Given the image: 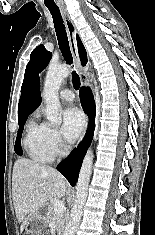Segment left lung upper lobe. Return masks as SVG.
<instances>
[{"label":"left lung upper lobe","instance_id":"5c2ea615","mask_svg":"<svg viewBox=\"0 0 155 235\" xmlns=\"http://www.w3.org/2000/svg\"><path fill=\"white\" fill-rule=\"evenodd\" d=\"M51 57L52 53L48 52L43 45H39L32 51L25 70L23 86L34 73L41 72L48 65Z\"/></svg>","mask_w":155,"mask_h":235}]
</instances>
